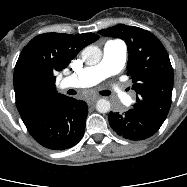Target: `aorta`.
Instances as JSON below:
<instances>
[{
  "label": "aorta",
  "instance_id": "obj_1",
  "mask_svg": "<svg viewBox=\"0 0 187 187\" xmlns=\"http://www.w3.org/2000/svg\"><path fill=\"white\" fill-rule=\"evenodd\" d=\"M102 58V51L94 45L87 46L82 51V59L87 65H96ZM111 104L106 99H99L96 103V109L99 113L109 112Z\"/></svg>",
  "mask_w": 187,
  "mask_h": 187
}]
</instances>
